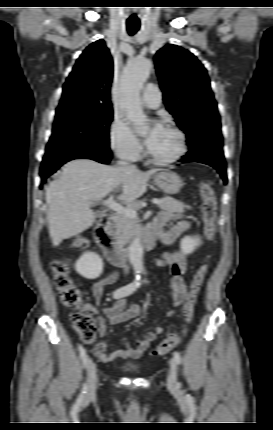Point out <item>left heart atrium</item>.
<instances>
[{"label":"left heart atrium","mask_w":273,"mask_h":430,"mask_svg":"<svg viewBox=\"0 0 273 430\" xmlns=\"http://www.w3.org/2000/svg\"><path fill=\"white\" fill-rule=\"evenodd\" d=\"M161 129L162 127L158 124H155L152 126V128L150 129L145 139V143L148 146V148L152 147Z\"/></svg>","instance_id":"1"}]
</instances>
